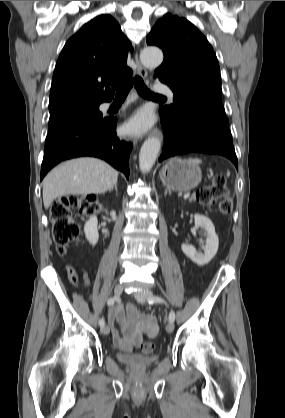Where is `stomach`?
<instances>
[{"instance_id":"stomach-1","label":"stomach","mask_w":285,"mask_h":418,"mask_svg":"<svg viewBox=\"0 0 285 418\" xmlns=\"http://www.w3.org/2000/svg\"><path fill=\"white\" fill-rule=\"evenodd\" d=\"M201 177V169L197 164L179 158L169 160L160 171L163 184L174 191H189L195 188Z\"/></svg>"}]
</instances>
